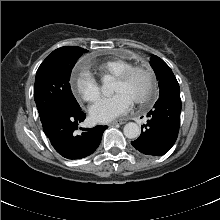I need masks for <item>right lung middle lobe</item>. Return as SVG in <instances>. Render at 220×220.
Wrapping results in <instances>:
<instances>
[{"label":"right lung middle lobe","mask_w":220,"mask_h":220,"mask_svg":"<svg viewBox=\"0 0 220 220\" xmlns=\"http://www.w3.org/2000/svg\"><path fill=\"white\" fill-rule=\"evenodd\" d=\"M82 48L65 46L54 50L39 66L34 85V100L41 122L59 111L81 110L71 92V71L86 52Z\"/></svg>","instance_id":"obj_1"}]
</instances>
